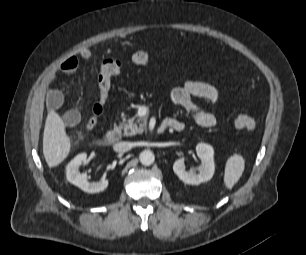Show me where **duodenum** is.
I'll return each mask as SVG.
<instances>
[{
	"label": "duodenum",
	"mask_w": 306,
	"mask_h": 255,
	"mask_svg": "<svg viewBox=\"0 0 306 255\" xmlns=\"http://www.w3.org/2000/svg\"><path fill=\"white\" fill-rule=\"evenodd\" d=\"M169 128H171V129H173V128L179 129L180 125L178 123H176V122L165 120L164 122H162L158 126L157 132L162 134V133H164ZM120 137H121L120 131L118 129L114 128V129L109 130L106 133L105 142H106V144H114V143L119 141Z\"/></svg>",
	"instance_id": "410a0bca"
}]
</instances>
